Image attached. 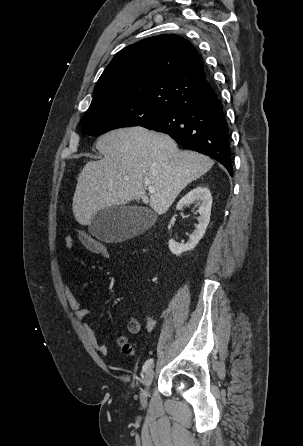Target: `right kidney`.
Instances as JSON below:
<instances>
[{
    "mask_svg": "<svg viewBox=\"0 0 303 446\" xmlns=\"http://www.w3.org/2000/svg\"><path fill=\"white\" fill-rule=\"evenodd\" d=\"M192 202H196V206H198V213L200 214L198 218V226L196 230L189 236V240L186 243H178L174 240H169V249L175 255H180L183 252H187L196 247L198 242L202 239L207 226L210 221L211 216V206H212V197L210 190L204 186H198L187 193L181 200L178 202L176 209L182 210L183 207L188 206Z\"/></svg>",
    "mask_w": 303,
    "mask_h": 446,
    "instance_id": "obj_1",
    "label": "right kidney"
}]
</instances>
